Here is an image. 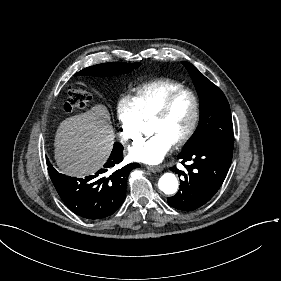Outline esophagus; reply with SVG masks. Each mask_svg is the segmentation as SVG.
Returning <instances> with one entry per match:
<instances>
[{
  "instance_id": "obj_1",
  "label": "esophagus",
  "mask_w": 281,
  "mask_h": 281,
  "mask_svg": "<svg viewBox=\"0 0 281 281\" xmlns=\"http://www.w3.org/2000/svg\"><path fill=\"white\" fill-rule=\"evenodd\" d=\"M147 169L152 171V172H160L162 170V167L161 166H147Z\"/></svg>"
}]
</instances>
